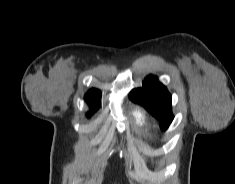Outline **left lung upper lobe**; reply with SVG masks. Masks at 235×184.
Listing matches in <instances>:
<instances>
[{"mask_svg":"<svg viewBox=\"0 0 235 184\" xmlns=\"http://www.w3.org/2000/svg\"><path fill=\"white\" fill-rule=\"evenodd\" d=\"M130 98L143 105L157 120L162 129H167L174 116L171 111V95L156 76L145 78L141 88L133 89Z\"/></svg>","mask_w":235,"mask_h":184,"instance_id":"obj_1","label":"left lung upper lobe"}]
</instances>
